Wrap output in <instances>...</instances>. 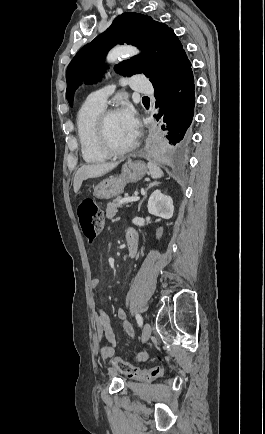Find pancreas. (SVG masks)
I'll return each mask as SVG.
<instances>
[{"label":"pancreas","instance_id":"cf45deb5","mask_svg":"<svg viewBox=\"0 0 265 434\" xmlns=\"http://www.w3.org/2000/svg\"><path fill=\"white\" fill-rule=\"evenodd\" d=\"M121 200H123V198H121V196H118V198L114 200L113 204L112 202H109V204H107L106 218H108V220H112L113 216H116L118 212L117 208H121L122 206V204H120ZM124 204H129V202H124Z\"/></svg>","mask_w":265,"mask_h":434}]
</instances>
